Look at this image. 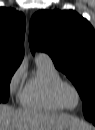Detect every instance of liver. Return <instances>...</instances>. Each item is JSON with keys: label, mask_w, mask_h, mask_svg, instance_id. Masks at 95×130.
Here are the masks:
<instances>
[{"label": "liver", "mask_w": 95, "mask_h": 130, "mask_svg": "<svg viewBox=\"0 0 95 130\" xmlns=\"http://www.w3.org/2000/svg\"><path fill=\"white\" fill-rule=\"evenodd\" d=\"M71 125L81 127L83 130L90 129L68 114L45 110H15L7 105L0 107V130H65Z\"/></svg>", "instance_id": "1"}]
</instances>
